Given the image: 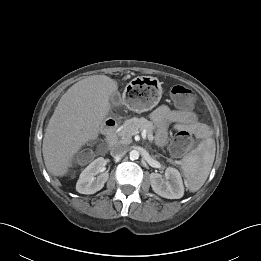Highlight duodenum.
Segmentation results:
<instances>
[{"instance_id":"obj_1","label":"duodenum","mask_w":261,"mask_h":261,"mask_svg":"<svg viewBox=\"0 0 261 261\" xmlns=\"http://www.w3.org/2000/svg\"><path fill=\"white\" fill-rule=\"evenodd\" d=\"M117 122L113 118H108L103 125V132L106 137L108 147L112 148L117 141Z\"/></svg>"}]
</instances>
